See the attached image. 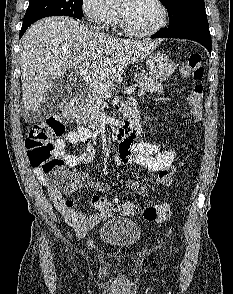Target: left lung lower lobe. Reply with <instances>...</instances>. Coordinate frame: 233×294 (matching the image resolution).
Returning a JSON list of instances; mask_svg holds the SVG:
<instances>
[{
    "label": "left lung lower lobe",
    "mask_w": 233,
    "mask_h": 294,
    "mask_svg": "<svg viewBox=\"0 0 233 294\" xmlns=\"http://www.w3.org/2000/svg\"><path fill=\"white\" fill-rule=\"evenodd\" d=\"M151 38H180L202 44L209 53L212 49L211 35L207 18H186L168 28L158 31Z\"/></svg>",
    "instance_id": "left-lung-lower-lobe-1"
}]
</instances>
